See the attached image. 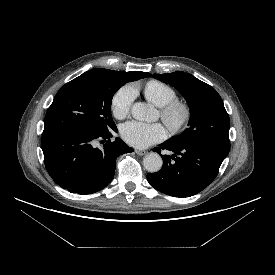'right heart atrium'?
<instances>
[{"mask_svg":"<svg viewBox=\"0 0 275 275\" xmlns=\"http://www.w3.org/2000/svg\"><path fill=\"white\" fill-rule=\"evenodd\" d=\"M135 98V88L130 85L120 87L111 98V112L119 120L128 116Z\"/></svg>","mask_w":275,"mask_h":275,"instance_id":"1","label":"right heart atrium"}]
</instances>
